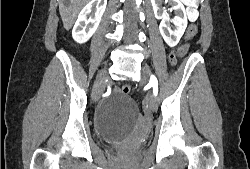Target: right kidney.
I'll return each mask as SVG.
<instances>
[{"mask_svg": "<svg viewBox=\"0 0 250 169\" xmlns=\"http://www.w3.org/2000/svg\"><path fill=\"white\" fill-rule=\"evenodd\" d=\"M107 0H90L81 12L73 26L72 36L76 42H86L98 28Z\"/></svg>", "mask_w": 250, "mask_h": 169, "instance_id": "obj_1", "label": "right kidney"}]
</instances>
